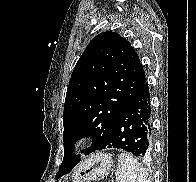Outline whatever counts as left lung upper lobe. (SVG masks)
<instances>
[{"mask_svg":"<svg viewBox=\"0 0 196 182\" xmlns=\"http://www.w3.org/2000/svg\"><path fill=\"white\" fill-rule=\"evenodd\" d=\"M145 83V72L130 42L112 31L97 35L75 65L63 112L64 159L56 179L69 173L76 160L66 154L84 136L93 138L88 154L105 140L123 107ZM81 160V159H80Z\"/></svg>","mask_w":196,"mask_h":182,"instance_id":"left-lung-upper-lobe-1","label":"left lung upper lobe"}]
</instances>
